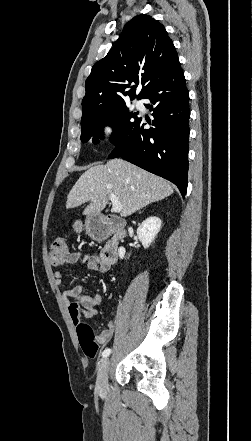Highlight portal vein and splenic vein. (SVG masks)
I'll use <instances>...</instances> for the list:
<instances>
[{
	"label": "portal vein and splenic vein",
	"mask_w": 252,
	"mask_h": 441,
	"mask_svg": "<svg viewBox=\"0 0 252 441\" xmlns=\"http://www.w3.org/2000/svg\"><path fill=\"white\" fill-rule=\"evenodd\" d=\"M109 199L112 202V210L114 212H120L122 210V205L118 201L117 197L114 194H109Z\"/></svg>",
	"instance_id": "portal-vein-and-splenic-vein-1"
}]
</instances>
